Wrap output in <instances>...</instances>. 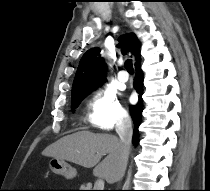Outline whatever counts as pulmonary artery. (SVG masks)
<instances>
[{
	"label": "pulmonary artery",
	"mask_w": 210,
	"mask_h": 191,
	"mask_svg": "<svg viewBox=\"0 0 210 191\" xmlns=\"http://www.w3.org/2000/svg\"><path fill=\"white\" fill-rule=\"evenodd\" d=\"M117 77L120 82H127L129 79V75L125 71H120Z\"/></svg>",
	"instance_id": "1"
}]
</instances>
